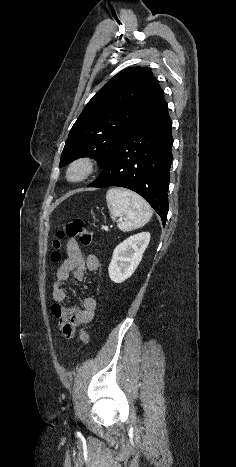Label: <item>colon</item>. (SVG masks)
Listing matches in <instances>:
<instances>
[{"mask_svg":"<svg viewBox=\"0 0 236 467\" xmlns=\"http://www.w3.org/2000/svg\"><path fill=\"white\" fill-rule=\"evenodd\" d=\"M65 237H69L71 239L77 238L85 246L91 245L93 239L92 232L85 228L83 220L75 218L66 222L56 231V235L53 240L54 250L52 252V260L54 262H59L61 259L60 250ZM80 339L84 344H88V327L80 330Z\"/></svg>","mask_w":236,"mask_h":467,"instance_id":"colon-1","label":"colon"}]
</instances>
